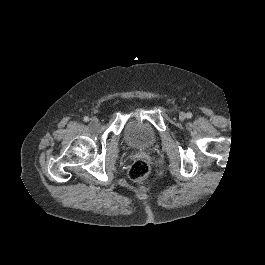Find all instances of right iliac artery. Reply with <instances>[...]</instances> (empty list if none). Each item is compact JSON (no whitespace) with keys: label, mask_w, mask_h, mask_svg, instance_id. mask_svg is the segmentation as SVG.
Wrapping results in <instances>:
<instances>
[{"label":"right iliac artery","mask_w":265,"mask_h":265,"mask_svg":"<svg viewBox=\"0 0 265 265\" xmlns=\"http://www.w3.org/2000/svg\"><path fill=\"white\" fill-rule=\"evenodd\" d=\"M85 122H88L90 119L88 116H85L84 119H83Z\"/></svg>","instance_id":"obj_1"}]
</instances>
